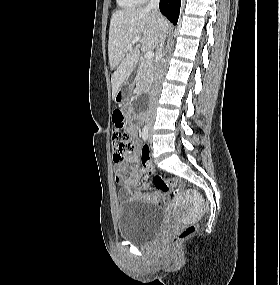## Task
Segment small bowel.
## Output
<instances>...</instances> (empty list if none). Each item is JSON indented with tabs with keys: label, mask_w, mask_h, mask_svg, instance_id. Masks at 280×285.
<instances>
[{
	"label": "small bowel",
	"mask_w": 280,
	"mask_h": 285,
	"mask_svg": "<svg viewBox=\"0 0 280 285\" xmlns=\"http://www.w3.org/2000/svg\"><path fill=\"white\" fill-rule=\"evenodd\" d=\"M135 119L139 120V118ZM127 130L134 138H138L140 135V128L137 123L129 124ZM139 147V142L135 141L134 148L127 156H125L124 160L122 162H117V173L115 180L122 186L119 193V198L121 201H126L129 198H133L161 205L166 201V198L160 193V191H154L153 193L148 194L145 191L151 186V183L149 181H140L142 170L138 165ZM143 149H146V147H143L142 150ZM141 163L143 169L147 172L151 173L154 171V166L150 159L145 161L141 160ZM127 164H133L129 171H127L125 167Z\"/></svg>",
	"instance_id": "1"
}]
</instances>
